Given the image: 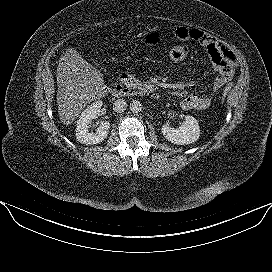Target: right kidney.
I'll use <instances>...</instances> for the list:
<instances>
[{"label": "right kidney", "instance_id": "right-kidney-1", "mask_svg": "<svg viewBox=\"0 0 272 272\" xmlns=\"http://www.w3.org/2000/svg\"><path fill=\"white\" fill-rule=\"evenodd\" d=\"M102 105L103 102L101 100L95 101L89 105L79 117L75 135L80 143L94 145L101 143L107 138L110 129V123L108 121H102L96 133L89 132V124L93 119L98 118Z\"/></svg>", "mask_w": 272, "mask_h": 272}]
</instances>
